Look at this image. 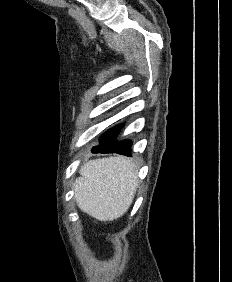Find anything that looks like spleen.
Returning a JSON list of instances; mask_svg holds the SVG:
<instances>
[{"label": "spleen", "mask_w": 232, "mask_h": 282, "mask_svg": "<svg viewBox=\"0 0 232 282\" xmlns=\"http://www.w3.org/2000/svg\"><path fill=\"white\" fill-rule=\"evenodd\" d=\"M137 167L124 157L91 160L73 186L79 208L100 221L121 217L130 207L137 187Z\"/></svg>", "instance_id": "obj_1"}]
</instances>
